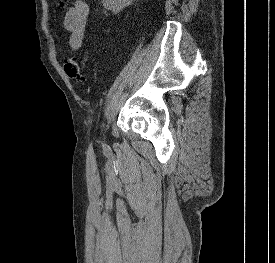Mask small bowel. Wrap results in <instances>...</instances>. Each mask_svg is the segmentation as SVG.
<instances>
[{
	"instance_id": "small-bowel-1",
	"label": "small bowel",
	"mask_w": 275,
	"mask_h": 263,
	"mask_svg": "<svg viewBox=\"0 0 275 263\" xmlns=\"http://www.w3.org/2000/svg\"><path fill=\"white\" fill-rule=\"evenodd\" d=\"M89 11L86 0H76L64 15L63 25L70 34L69 44L74 51L79 50L83 44Z\"/></svg>"
}]
</instances>
